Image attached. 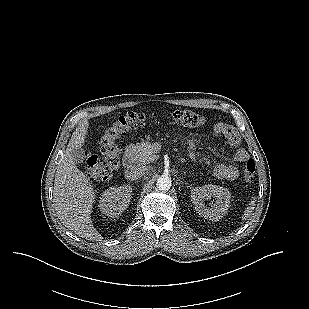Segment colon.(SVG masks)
<instances>
[{
  "label": "colon",
  "mask_w": 309,
  "mask_h": 309,
  "mask_svg": "<svg viewBox=\"0 0 309 309\" xmlns=\"http://www.w3.org/2000/svg\"><path fill=\"white\" fill-rule=\"evenodd\" d=\"M177 124L187 127H202L206 124V119L199 113L192 110H177L162 115ZM159 117L157 114L145 115L142 113L130 112L112 123L103 132L99 147L102 153L98 157L92 153H85V169L87 173L97 179H109L112 173L120 166V149L117 140L133 129L144 126L148 121ZM255 162L247 160L243 179L246 183H251L255 177Z\"/></svg>",
  "instance_id": "1"
}]
</instances>
